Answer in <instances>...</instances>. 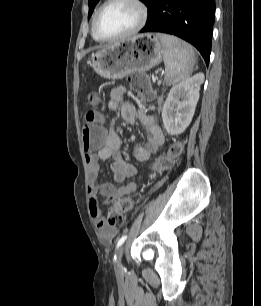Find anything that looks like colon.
I'll list each match as a JSON object with an SVG mask.
<instances>
[{"mask_svg": "<svg viewBox=\"0 0 261 306\" xmlns=\"http://www.w3.org/2000/svg\"><path fill=\"white\" fill-rule=\"evenodd\" d=\"M131 84L133 88L138 91L145 99H149L152 96L147 78L143 74H135L131 77ZM88 101L93 104L95 101V95L89 94ZM97 115L94 111H88L86 114V122L82 127V140L84 149L86 151L97 150L103 141L105 131L103 126L96 121ZM181 150L180 144L174 142L171 144L169 151L166 155L160 157L155 162L154 170L161 171L168 168L173 159L179 154ZM134 200L130 197L121 199L115 207L111 209L108 215V224L112 227H120L125 221L126 214L132 209Z\"/></svg>", "mask_w": 261, "mask_h": 306, "instance_id": "obj_1", "label": "colon"}]
</instances>
